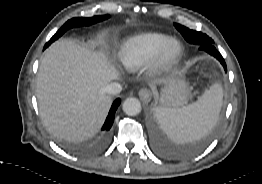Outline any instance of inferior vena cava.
I'll return each mask as SVG.
<instances>
[{
	"label": "inferior vena cava",
	"mask_w": 262,
	"mask_h": 184,
	"mask_svg": "<svg viewBox=\"0 0 262 184\" xmlns=\"http://www.w3.org/2000/svg\"><path fill=\"white\" fill-rule=\"evenodd\" d=\"M122 86L117 82H111L106 85L105 91L111 95H117L121 92Z\"/></svg>",
	"instance_id": "inferior-vena-cava-1"
}]
</instances>
